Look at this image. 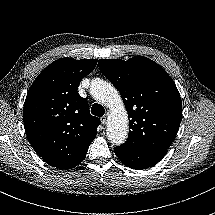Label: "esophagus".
<instances>
[{"label": "esophagus", "instance_id": "obj_1", "mask_svg": "<svg viewBox=\"0 0 215 215\" xmlns=\"http://www.w3.org/2000/svg\"><path fill=\"white\" fill-rule=\"evenodd\" d=\"M107 117H108V113H105L104 116L101 117L102 124L104 125L106 124Z\"/></svg>", "mask_w": 215, "mask_h": 215}]
</instances>
